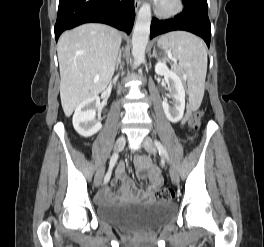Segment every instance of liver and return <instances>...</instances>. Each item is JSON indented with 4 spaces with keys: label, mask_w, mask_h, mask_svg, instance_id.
Masks as SVG:
<instances>
[{
    "label": "liver",
    "mask_w": 264,
    "mask_h": 247,
    "mask_svg": "<svg viewBox=\"0 0 264 247\" xmlns=\"http://www.w3.org/2000/svg\"><path fill=\"white\" fill-rule=\"evenodd\" d=\"M121 33L107 25L89 23L64 32L57 43L60 98L69 117L86 99L108 86L114 73Z\"/></svg>",
    "instance_id": "1"
}]
</instances>
